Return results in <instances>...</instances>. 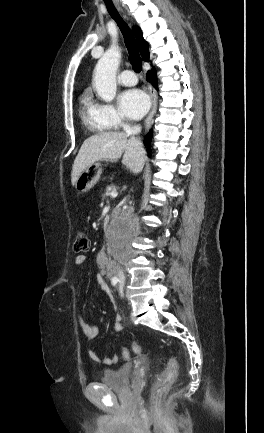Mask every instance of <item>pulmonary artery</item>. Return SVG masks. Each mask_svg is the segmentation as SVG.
<instances>
[{
  "instance_id": "1",
  "label": "pulmonary artery",
  "mask_w": 264,
  "mask_h": 433,
  "mask_svg": "<svg viewBox=\"0 0 264 433\" xmlns=\"http://www.w3.org/2000/svg\"><path fill=\"white\" fill-rule=\"evenodd\" d=\"M118 82L124 86H133L137 83V78L132 70L125 69L119 75Z\"/></svg>"
}]
</instances>
